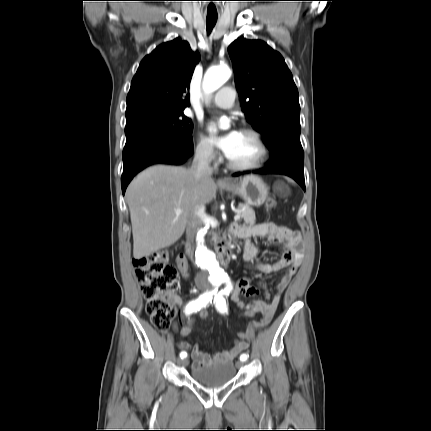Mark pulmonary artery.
<instances>
[{
  "instance_id": "1",
  "label": "pulmonary artery",
  "mask_w": 431,
  "mask_h": 431,
  "mask_svg": "<svg viewBox=\"0 0 431 431\" xmlns=\"http://www.w3.org/2000/svg\"><path fill=\"white\" fill-rule=\"evenodd\" d=\"M235 99V89L231 86H224L212 97L211 105L222 109H229L233 107Z\"/></svg>"
}]
</instances>
